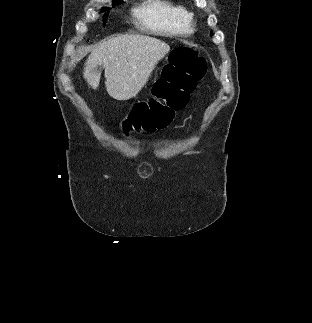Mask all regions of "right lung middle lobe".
Returning <instances> with one entry per match:
<instances>
[{
    "instance_id": "right-lung-middle-lobe-1",
    "label": "right lung middle lobe",
    "mask_w": 312,
    "mask_h": 323,
    "mask_svg": "<svg viewBox=\"0 0 312 323\" xmlns=\"http://www.w3.org/2000/svg\"><path fill=\"white\" fill-rule=\"evenodd\" d=\"M106 19H107V14L104 15V18H103L104 22L106 21Z\"/></svg>"
}]
</instances>
